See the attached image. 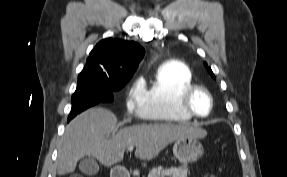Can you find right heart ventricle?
<instances>
[{"label":"right heart ventricle","instance_id":"e07e8e85","mask_svg":"<svg viewBox=\"0 0 287 177\" xmlns=\"http://www.w3.org/2000/svg\"><path fill=\"white\" fill-rule=\"evenodd\" d=\"M194 84L191 71L184 64L170 63L161 66L146 88L140 115L147 121L160 123H186L192 116L179 105L182 93Z\"/></svg>","mask_w":287,"mask_h":177}]
</instances>
